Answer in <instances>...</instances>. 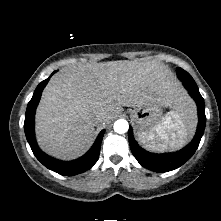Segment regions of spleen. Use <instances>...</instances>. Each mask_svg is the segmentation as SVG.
Instances as JSON below:
<instances>
[{
	"label": "spleen",
	"instance_id": "1",
	"mask_svg": "<svg viewBox=\"0 0 221 221\" xmlns=\"http://www.w3.org/2000/svg\"><path fill=\"white\" fill-rule=\"evenodd\" d=\"M196 125L194 108L186 112H168L161 125L156 129L157 138L161 141L155 143L154 135L137 134L138 140L145 148L152 151L176 150L181 148L193 135ZM152 142L148 143L147 141Z\"/></svg>",
	"mask_w": 221,
	"mask_h": 221
}]
</instances>
